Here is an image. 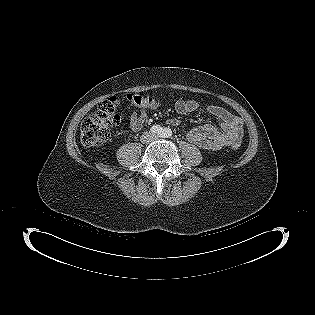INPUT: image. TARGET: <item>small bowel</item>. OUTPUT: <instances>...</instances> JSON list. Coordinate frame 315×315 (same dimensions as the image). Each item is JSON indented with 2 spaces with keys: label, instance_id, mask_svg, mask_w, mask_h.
Masks as SVG:
<instances>
[{
  "label": "small bowel",
  "instance_id": "c3829d8e",
  "mask_svg": "<svg viewBox=\"0 0 315 315\" xmlns=\"http://www.w3.org/2000/svg\"><path fill=\"white\" fill-rule=\"evenodd\" d=\"M158 106L159 103L144 107L138 113L131 112L129 116L131 128L140 129L147 119V110H153ZM198 107L199 104L195 100H178L175 103V111L180 115L192 113ZM207 111L220 121V129L212 124L197 126L186 131L187 139L201 149L213 151L225 146L240 144L243 136L241 118L216 105H209ZM180 123L177 118L168 120V124L171 126L177 127Z\"/></svg>",
  "mask_w": 315,
  "mask_h": 315
}]
</instances>
